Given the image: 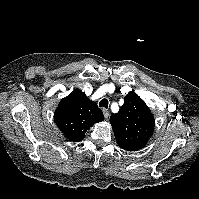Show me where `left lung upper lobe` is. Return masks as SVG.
I'll use <instances>...</instances> for the list:
<instances>
[{"label": "left lung upper lobe", "instance_id": "1", "mask_svg": "<svg viewBox=\"0 0 199 199\" xmlns=\"http://www.w3.org/2000/svg\"><path fill=\"white\" fill-rule=\"evenodd\" d=\"M117 144L127 151L144 147L153 133L155 120L149 107L134 92L128 93L119 112L110 117Z\"/></svg>", "mask_w": 199, "mask_h": 199}]
</instances>
